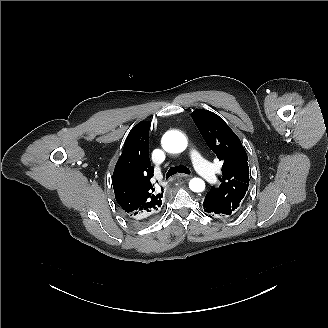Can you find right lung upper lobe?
I'll return each instance as SVG.
<instances>
[{
	"label": "right lung upper lobe",
	"instance_id": "cb5924a9",
	"mask_svg": "<svg viewBox=\"0 0 328 328\" xmlns=\"http://www.w3.org/2000/svg\"><path fill=\"white\" fill-rule=\"evenodd\" d=\"M151 123H138L128 134L112 176L115 198L125 215L141 224L158 217L163 205V188L151 183L154 169L149 160Z\"/></svg>",
	"mask_w": 328,
	"mask_h": 328
}]
</instances>
